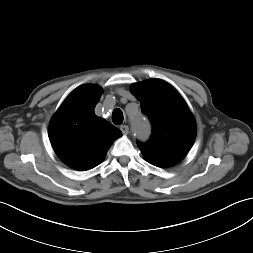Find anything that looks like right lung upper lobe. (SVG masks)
I'll list each match as a JSON object with an SVG mask.
<instances>
[{"label":"right lung upper lobe","instance_id":"right-lung-upper-lobe-1","mask_svg":"<svg viewBox=\"0 0 253 253\" xmlns=\"http://www.w3.org/2000/svg\"><path fill=\"white\" fill-rule=\"evenodd\" d=\"M102 89L86 84L69 94L53 116L49 139L59 158L76 170H89L100 164L113 142L122 133L97 117L94 108Z\"/></svg>","mask_w":253,"mask_h":253}]
</instances>
